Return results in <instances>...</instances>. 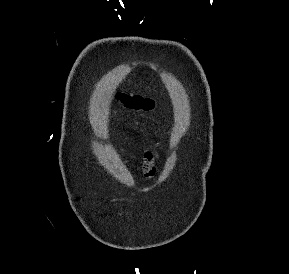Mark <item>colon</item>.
<instances>
[{"label":"colon","mask_w":289,"mask_h":274,"mask_svg":"<svg viewBox=\"0 0 289 274\" xmlns=\"http://www.w3.org/2000/svg\"><path fill=\"white\" fill-rule=\"evenodd\" d=\"M118 98L124 107L131 110L150 111L155 107L154 100L141 96L120 94Z\"/></svg>","instance_id":"5ec220e1"}]
</instances>
